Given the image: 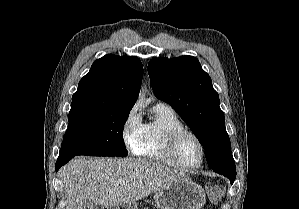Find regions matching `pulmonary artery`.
Instances as JSON below:
<instances>
[{
  "instance_id": "1",
  "label": "pulmonary artery",
  "mask_w": 299,
  "mask_h": 209,
  "mask_svg": "<svg viewBox=\"0 0 299 209\" xmlns=\"http://www.w3.org/2000/svg\"><path fill=\"white\" fill-rule=\"evenodd\" d=\"M156 105H158V106H162V107H165V108H168V109H171V110H172V108H171L169 105H167V104H165V103H163V102H161V101H158V102L156 103Z\"/></svg>"
}]
</instances>
